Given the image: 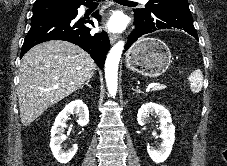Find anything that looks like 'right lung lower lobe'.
<instances>
[{"instance_id":"1","label":"right lung lower lobe","mask_w":227,"mask_h":166,"mask_svg":"<svg viewBox=\"0 0 227 166\" xmlns=\"http://www.w3.org/2000/svg\"><path fill=\"white\" fill-rule=\"evenodd\" d=\"M92 0L74 5L75 9L70 14H57L31 21V28L24 40L20 58L33 46L50 41L64 40L74 43L84 49L94 59L96 64L103 69L110 42L106 33L90 34L86 23L94 26L93 21L77 17V8L80 5H89ZM100 20L98 12L93 14Z\"/></svg>"}]
</instances>
